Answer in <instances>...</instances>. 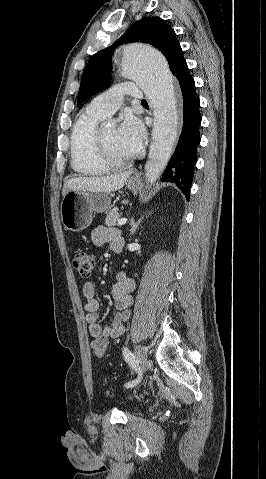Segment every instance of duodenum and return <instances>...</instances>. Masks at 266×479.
<instances>
[{
  "instance_id": "410a0bca",
  "label": "duodenum",
  "mask_w": 266,
  "mask_h": 479,
  "mask_svg": "<svg viewBox=\"0 0 266 479\" xmlns=\"http://www.w3.org/2000/svg\"><path fill=\"white\" fill-rule=\"evenodd\" d=\"M111 248L114 252H120L121 251V247L117 243H113Z\"/></svg>"
}]
</instances>
